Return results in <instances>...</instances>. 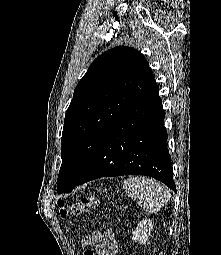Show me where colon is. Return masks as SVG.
<instances>
[{"label": "colon", "mask_w": 221, "mask_h": 255, "mask_svg": "<svg viewBox=\"0 0 221 255\" xmlns=\"http://www.w3.org/2000/svg\"><path fill=\"white\" fill-rule=\"evenodd\" d=\"M98 204V198L95 196H86L76 199L74 202L66 204L63 201L58 202L61 217L68 215L79 216L90 212ZM82 255H94L91 249H85Z\"/></svg>", "instance_id": "5ec220e1"}]
</instances>
